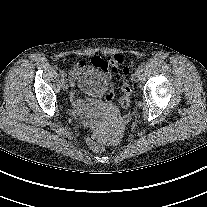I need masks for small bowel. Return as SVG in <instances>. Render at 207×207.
I'll return each instance as SVG.
<instances>
[{"instance_id":"c3829d8e","label":"small bowel","mask_w":207,"mask_h":207,"mask_svg":"<svg viewBox=\"0 0 207 207\" xmlns=\"http://www.w3.org/2000/svg\"><path fill=\"white\" fill-rule=\"evenodd\" d=\"M99 62V61H98ZM114 84L110 77L107 79V90L103 99L87 100L79 97L76 93L71 94V102L73 106V113H88L92 117H95L100 111H102L114 97Z\"/></svg>"}]
</instances>
